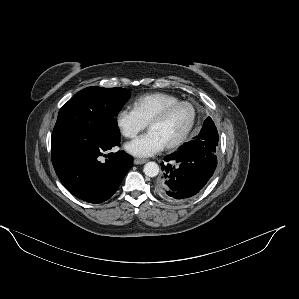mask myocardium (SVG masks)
Segmentation results:
<instances>
[{"label":"myocardium","mask_w":299,"mask_h":299,"mask_svg":"<svg viewBox=\"0 0 299 299\" xmlns=\"http://www.w3.org/2000/svg\"><path fill=\"white\" fill-rule=\"evenodd\" d=\"M183 105H187L192 109V119L186 130L176 140L164 146L168 150L175 149L181 146L192 133L198 118V109L195 103L189 100H179L175 103L169 104L165 106L148 122V128H150L152 125L164 121L170 115L171 112Z\"/></svg>","instance_id":"f54148a6"}]
</instances>
